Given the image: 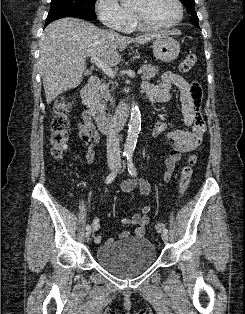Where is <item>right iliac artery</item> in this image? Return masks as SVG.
Returning a JSON list of instances; mask_svg holds the SVG:
<instances>
[{"label": "right iliac artery", "instance_id": "82829eb1", "mask_svg": "<svg viewBox=\"0 0 245 314\" xmlns=\"http://www.w3.org/2000/svg\"><path fill=\"white\" fill-rule=\"evenodd\" d=\"M124 156H125V154H123V155L121 156V158L119 159V162H118V164H117V167L120 165V163H121V161H122V159H123ZM116 174H117V168L107 176V178H106V180H105V183H106V184L112 183L113 180H114L115 177H116ZM86 230H87V231H88V230H91V226H90L89 224L86 225Z\"/></svg>", "mask_w": 245, "mask_h": 314}]
</instances>
